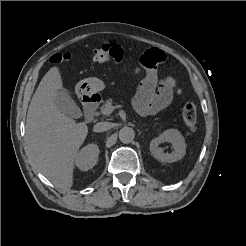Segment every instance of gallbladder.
Masks as SVG:
<instances>
[{"mask_svg":"<svg viewBox=\"0 0 246 246\" xmlns=\"http://www.w3.org/2000/svg\"><path fill=\"white\" fill-rule=\"evenodd\" d=\"M54 103L56 107L67 116L72 118H79L82 116L80 108L66 89H60L57 91Z\"/></svg>","mask_w":246,"mask_h":246,"instance_id":"gallbladder-1","label":"gallbladder"}]
</instances>
